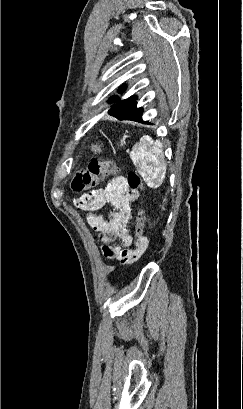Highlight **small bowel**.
Returning <instances> with one entry per match:
<instances>
[{"label": "small bowel", "instance_id": "small-bowel-1", "mask_svg": "<svg viewBox=\"0 0 243 409\" xmlns=\"http://www.w3.org/2000/svg\"><path fill=\"white\" fill-rule=\"evenodd\" d=\"M138 197L139 191L129 188L126 179L121 177L114 179L104 188L82 195L77 201L80 208L88 211L101 209L107 204L114 207L107 218L90 213L87 221L99 235L104 256L121 264L137 261L148 247L146 237L137 246L129 229L132 218L131 204ZM114 241H118V244L109 245Z\"/></svg>", "mask_w": 243, "mask_h": 409}]
</instances>
